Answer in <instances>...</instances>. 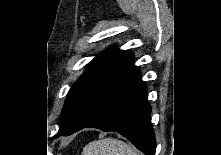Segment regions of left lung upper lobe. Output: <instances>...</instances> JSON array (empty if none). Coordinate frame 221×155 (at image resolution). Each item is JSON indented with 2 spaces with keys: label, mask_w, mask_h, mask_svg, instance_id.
Wrapping results in <instances>:
<instances>
[{
  "label": "left lung upper lobe",
  "mask_w": 221,
  "mask_h": 155,
  "mask_svg": "<svg viewBox=\"0 0 221 155\" xmlns=\"http://www.w3.org/2000/svg\"><path fill=\"white\" fill-rule=\"evenodd\" d=\"M131 58L133 55L129 52L109 48L87 65L86 72L68 92L62 110L63 117L60 130L67 128L74 121L99 84Z\"/></svg>",
  "instance_id": "left-lung-upper-lobe-1"
}]
</instances>
